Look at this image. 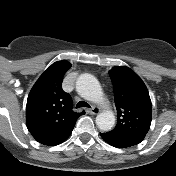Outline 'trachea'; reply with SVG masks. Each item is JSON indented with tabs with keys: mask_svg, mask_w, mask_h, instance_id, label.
<instances>
[{
	"mask_svg": "<svg viewBox=\"0 0 176 176\" xmlns=\"http://www.w3.org/2000/svg\"><path fill=\"white\" fill-rule=\"evenodd\" d=\"M80 107H88L91 108L90 105L84 101H80L77 103L76 108H80Z\"/></svg>",
	"mask_w": 176,
	"mask_h": 176,
	"instance_id": "1",
	"label": "trachea"
}]
</instances>
